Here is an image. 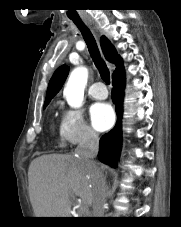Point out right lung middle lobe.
<instances>
[{"instance_id": "dd1d6c3e", "label": "right lung middle lobe", "mask_w": 181, "mask_h": 227, "mask_svg": "<svg viewBox=\"0 0 181 227\" xmlns=\"http://www.w3.org/2000/svg\"><path fill=\"white\" fill-rule=\"evenodd\" d=\"M48 105V103H44V108Z\"/></svg>"}]
</instances>
